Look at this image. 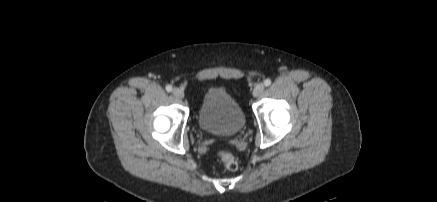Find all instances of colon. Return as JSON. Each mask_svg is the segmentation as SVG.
I'll return each instance as SVG.
<instances>
[{
  "instance_id": "colon-1",
  "label": "colon",
  "mask_w": 437,
  "mask_h": 202,
  "mask_svg": "<svg viewBox=\"0 0 437 202\" xmlns=\"http://www.w3.org/2000/svg\"><path fill=\"white\" fill-rule=\"evenodd\" d=\"M219 156L224 164V166L231 171H235L239 167L238 159L230 152L221 151Z\"/></svg>"
}]
</instances>
